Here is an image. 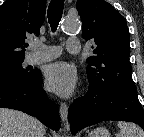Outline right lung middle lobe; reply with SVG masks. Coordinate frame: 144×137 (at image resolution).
<instances>
[{
  "label": "right lung middle lobe",
  "mask_w": 144,
  "mask_h": 137,
  "mask_svg": "<svg viewBox=\"0 0 144 137\" xmlns=\"http://www.w3.org/2000/svg\"><path fill=\"white\" fill-rule=\"evenodd\" d=\"M23 60L16 61L10 65L0 68L1 83H19L26 84L33 81L38 75V70L24 69L21 65Z\"/></svg>",
  "instance_id": "obj_1"
}]
</instances>
